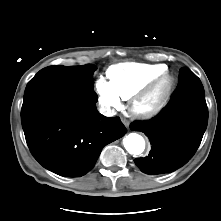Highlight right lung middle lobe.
<instances>
[{"instance_id":"right-lung-middle-lobe-1","label":"right lung middle lobe","mask_w":221,"mask_h":221,"mask_svg":"<svg viewBox=\"0 0 221 221\" xmlns=\"http://www.w3.org/2000/svg\"><path fill=\"white\" fill-rule=\"evenodd\" d=\"M93 64L83 66H49L40 70L27 85L50 83L77 90H93V73L96 70Z\"/></svg>"}]
</instances>
